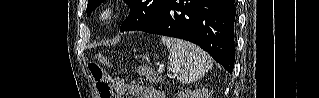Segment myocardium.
Listing matches in <instances>:
<instances>
[{
	"label": "myocardium",
	"mask_w": 319,
	"mask_h": 98,
	"mask_svg": "<svg viewBox=\"0 0 319 98\" xmlns=\"http://www.w3.org/2000/svg\"><path fill=\"white\" fill-rule=\"evenodd\" d=\"M116 13L117 9L115 7L108 6L100 12V19L103 22H110L116 16Z\"/></svg>",
	"instance_id": "f54148a6"
}]
</instances>
